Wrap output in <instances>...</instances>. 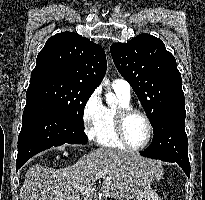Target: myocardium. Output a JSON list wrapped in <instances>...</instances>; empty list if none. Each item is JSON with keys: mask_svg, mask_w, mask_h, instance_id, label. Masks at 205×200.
<instances>
[{"mask_svg": "<svg viewBox=\"0 0 205 200\" xmlns=\"http://www.w3.org/2000/svg\"><path fill=\"white\" fill-rule=\"evenodd\" d=\"M132 115L141 116L145 120L147 127H148L147 139L140 146L131 145L126 138L125 125H126L127 120ZM114 127H115L116 135L119 138V140L121 141V143L126 148H128L130 150L138 151V150H142V149L146 148L150 144V142L153 138V125H152L150 118L148 117V115L145 112H143L137 108H134L132 106H122V107H118L116 109L115 114H114Z\"/></svg>", "mask_w": 205, "mask_h": 200, "instance_id": "myocardium-1", "label": "myocardium"}]
</instances>
